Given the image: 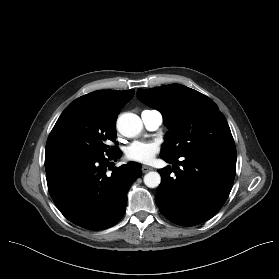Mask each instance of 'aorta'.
<instances>
[{
	"instance_id": "762f6f07",
	"label": "aorta",
	"mask_w": 279,
	"mask_h": 279,
	"mask_svg": "<svg viewBox=\"0 0 279 279\" xmlns=\"http://www.w3.org/2000/svg\"><path fill=\"white\" fill-rule=\"evenodd\" d=\"M117 129L125 137L133 138L140 134L143 129V123L140 117L134 113H123L117 119ZM161 182L158 172H148L144 176V183L149 188H156Z\"/></svg>"
}]
</instances>
